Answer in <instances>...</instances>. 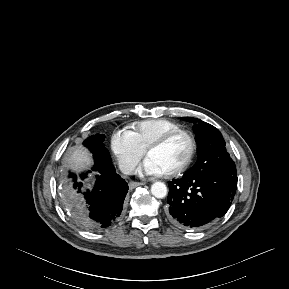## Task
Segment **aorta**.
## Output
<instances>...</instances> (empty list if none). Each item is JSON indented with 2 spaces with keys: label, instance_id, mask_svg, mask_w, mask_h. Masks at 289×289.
Masks as SVG:
<instances>
[{
  "label": "aorta",
  "instance_id": "obj_1",
  "mask_svg": "<svg viewBox=\"0 0 289 289\" xmlns=\"http://www.w3.org/2000/svg\"><path fill=\"white\" fill-rule=\"evenodd\" d=\"M151 193L156 198H164L167 195V187L162 182H155L151 186Z\"/></svg>",
  "mask_w": 289,
  "mask_h": 289
}]
</instances>
